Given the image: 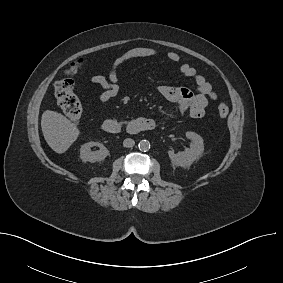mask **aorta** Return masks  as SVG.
<instances>
[{
  "label": "aorta",
  "mask_w": 283,
  "mask_h": 283,
  "mask_svg": "<svg viewBox=\"0 0 283 283\" xmlns=\"http://www.w3.org/2000/svg\"><path fill=\"white\" fill-rule=\"evenodd\" d=\"M138 147L141 151H148L150 149V142L148 140H140Z\"/></svg>",
  "instance_id": "762f6f07"
}]
</instances>
